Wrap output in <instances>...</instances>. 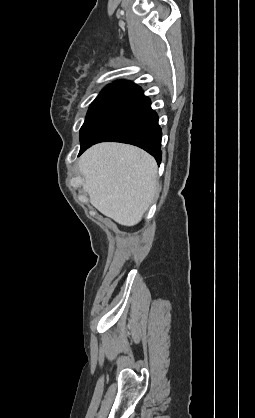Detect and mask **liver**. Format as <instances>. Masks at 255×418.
I'll return each instance as SVG.
<instances>
[{
  "mask_svg": "<svg viewBox=\"0 0 255 418\" xmlns=\"http://www.w3.org/2000/svg\"><path fill=\"white\" fill-rule=\"evenodd\" d=\"M83 188L91 204L115 222H140L156 193L157 164L145 151L126 144L101 143L80 158Z\"/></svg>",
  "mask_w": 255,
  "mask_h": 418,
  "instance_id": "1",
  "label": "liver"
}]
</instances>
